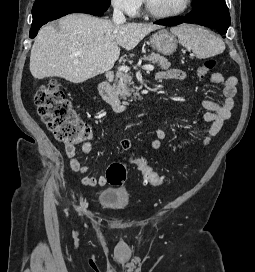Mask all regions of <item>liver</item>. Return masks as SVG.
Instances as JSON below:
<instances>
[{
	"label": "liver",
	"instance_id": "1",
	"mask_svg": "<svg viewBox=\"0 0 255 272\" xmlns=\"http://www.w3.org/2000/svg\"><path fill=\"white\" fill-rule=\"evenodd\" d=\"M152 23L116 25L92 15L69 14L39 30L30 55V72L35 79L60 77L82 83L109 71L120 55V47L134 49L151 31Z\"/></svg>",
	"mask_w": 255,
	"mask_h": 272
}]
</instances>
